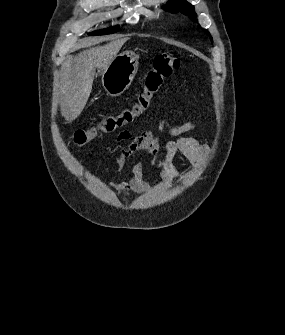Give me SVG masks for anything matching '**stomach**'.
<instances>
[{"instance_id": "0dacf381", "label": "stomach", "mask_w": 285, "mask_h": 335, "mask_svg": "<svg viewBox=\"0 0 285 335\" xmlns=\"http://www.w3.org/2000/svg\"><path fill=\"white\" fill-rule=\"evenodd\" d=\"M139 62L134 52L118 54L102 74V86L109 96H121L131 86Z\"/></svg>"}]
</instances>
